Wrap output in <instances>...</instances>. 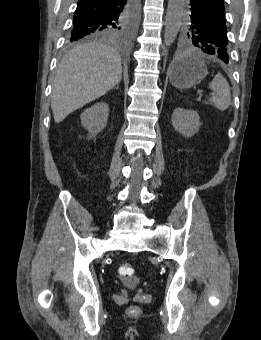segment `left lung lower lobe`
I'll return each mask as SVG.
<instances>
[{"label":"left lung lower lobe","mask_w":261,"mask_h":340,"mask_svg":"<svg viewBox=\"0 0 261 340\" xmlns=\"http://www.w3.org/2000/svg\"><path fill=\"white\" fill-rule=\"evenodd\" d=\"M186 2L191 14L195 16L208 17L213 14H225L223 0H185ZM228 62L226 61L225 63Z\"/></svg>","instance_id":"1"}]
</instances>
